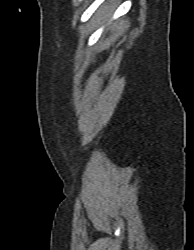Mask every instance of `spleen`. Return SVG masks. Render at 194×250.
<instances>
[{"label":"spleen","instance_id":"spleen-1","mask_svg":"<svg viewBox=\"0 0 194 250\" xmlns=\"http://www.w3.org/2000/svg\"><path fill=\"white\" fill-rule=\"evenodd\" d=\"M113 10H114V5L113 4L104 5L95 14V19L98 22L104 21L108 17H110V15L112 14Z\"/></svg>","mask_w":194,"mask_h":250}]
</instances>
